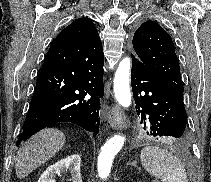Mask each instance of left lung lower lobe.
Returning <instances> with one entry per match:
<instances>
[{
    "label": "left lung lower lobe",
    "mask_w": 211,
    "mask_h": 182,
    "mask_svg": "<svg viewBox=\"0 0 211 182\" xmlns=\"http://www.w3.org/2000/svg\"><path fill=\"white\" fill-rule=\"evenodd\" d=\"M131 86L147 135L183 139L187 122L183 98L164 86L133 54Z\"/></svg>",
    "instance_id": "0a47b994"
}]
</instances>
